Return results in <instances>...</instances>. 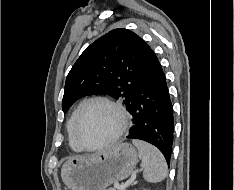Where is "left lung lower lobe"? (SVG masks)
<instances>
[{
    "instance_id": "obj_1",
    "label": "left lung lower lobe",
    "mask_w": 234,
    "mask_h": 190,
    "mask_svg": "<svg viewBox=\"0 0 234 190\" xmlns=\"http://www.w3.org/2000/svg\"><path fill=\"white\" fill-rule=\"evenodd\" d=\"M141 59L140 79L126 105L133 121L127 138L156 146L169 164L174 119L166 78L155 53L144 41Z\"/></svg>"
}]
</instances>
